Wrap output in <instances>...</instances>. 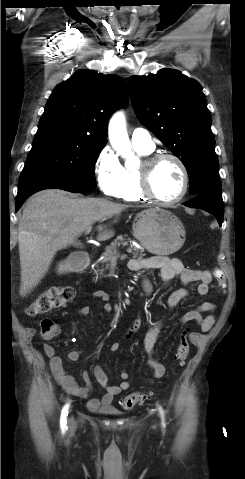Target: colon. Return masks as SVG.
<instances>
[{"mask_svg": "<svg viewBox=\"0 0 245 479\" xmlns=\"http://www.w3.org/2000/svg\"><path fill=\"white\" fill-rule=\"evenodd\" d=\"M219 283L222 281V274L219 270H215ZM75 291L71 286H53L45 289L34 301L26 308V313L30 316H37L49 313L53 310L66 306L73 300ZM41 335L44 338H52L59 332L58 324L50 319L45 318L40 323ZM188 332L184 331L179 339V344L175 354V359L183 364L187 359L190 351V343L187 337ZM148 393L135 392L125 396L121 401L124 409H132L135 405L147 400Z\"/></svg>", "mask_w": 245, "mask_h": 479, "instance_id": "5ec220e1", "label": "colon"}]
</instances>
